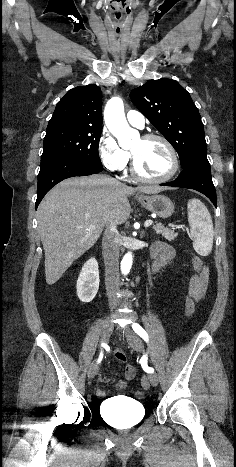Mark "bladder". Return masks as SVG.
<instances>
[{"label": "bladder", "mask_w": 236, "mask_h": 467, "mask_svg": "<svg viewBox=\"0 0 236 467\" xmlns=\"http://www.w3.org/2000/svg\"><path fill=\"white\" fill-rule=\"evenodd\" d=\"M144 406L128 397H114L102 402L99 411L109 424L118 429L137 425L145 416Z\"/></svg>", "instance_id": "1"}]
</instances>
